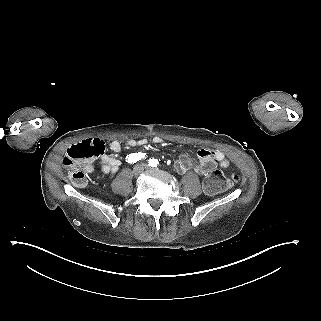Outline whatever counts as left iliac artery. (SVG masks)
Masks as SVG:
<instances>
[{"mask_svg":"<svg viewBox=\"0 0 321 321\" xmlns=\"http://www.w3.org/2000/svg\"><path fill=\"white\" fill-rule=\"evenodd\" d=\"M158 160H156V159H150L149 160V166H151V167H156L157 165H158Z\"/></svg>","mask_w":321,"mask_h":321,"instance_id":"left-iliac-artery-1","label":"left iliac artery"}]
</instances>
